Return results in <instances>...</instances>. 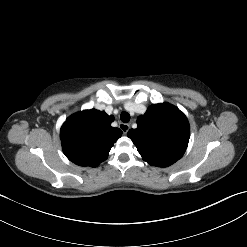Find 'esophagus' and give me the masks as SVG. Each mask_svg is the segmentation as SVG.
<instances>
[{
    "mask_svg": "<svg viewBox=\"0 0 247 247\" xmlns=\"http://www.w3.org/2000/svg\"><path fill=\"white\" fill-rule=\"evenodd\" d=\"M119 128L122 130L123 134H127L130 129V125L126 123H120Z\"/></svg>",
    "mask_w": 247,
    "mask_h": 247,
    "instance_id": "34e87169",
    "label": "esophagus"
}]
</instances>
